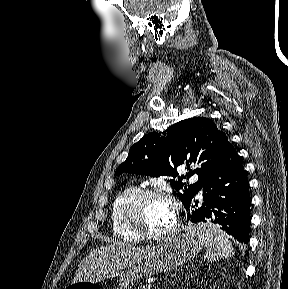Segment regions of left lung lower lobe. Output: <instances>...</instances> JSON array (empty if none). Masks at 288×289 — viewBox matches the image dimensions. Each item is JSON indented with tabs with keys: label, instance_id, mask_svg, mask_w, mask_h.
Returning a JSON list of instances; mask_svg holds the SVG:
<instances>
[{
	"label": "left lung lower lobe",
	"instance_id": "1",
	"mask_svg": "<svg viewBox=\"0 0 288 289\" xmlns=\"http://www.w3.org/2000/svg\"><path fill=\"white\" fill-rule=\"evenodd\" d=\"M201 187L202 204L198 205V200L193 198L185 206L188 222L211 221L239 242L248 243L251 220L248 178L231 143Z\"/></svg>",
	"mask_w": 288,
	"mask_h": 289
}]
</instances>
